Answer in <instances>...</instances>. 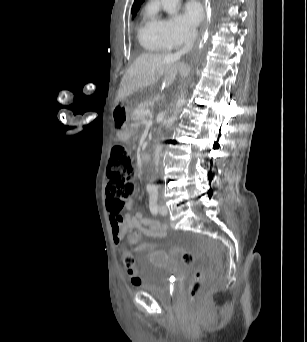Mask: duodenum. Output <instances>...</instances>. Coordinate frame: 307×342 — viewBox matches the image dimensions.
Here are the masks:
<instances>
[{
  "label": "duodenum",
  "instance_id": "obj_1",
  "mask_svg": "<svg viewBox=\"0 0 307 342\" xmlns=\"http://www.w3.org/2000/svg\"><path fill=\"white\" fill-rule=\"evenodd\" d=\"M141 163L146 164L149 161V154L147 151H143L140 155Z\"/></svg>",
  "mask_w": 307,
  "mask_h": 342
}]
</instances>
